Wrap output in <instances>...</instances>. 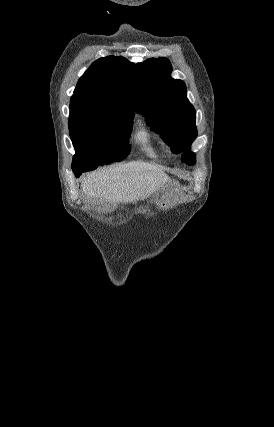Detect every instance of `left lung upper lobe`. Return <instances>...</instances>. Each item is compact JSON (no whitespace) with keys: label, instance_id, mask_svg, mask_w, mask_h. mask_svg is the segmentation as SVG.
<instances>
[{"label":"left lung upper lobe","instance_id":"1","mask_svg":"<svg viewBox=\"0 0 274 427\" xmlns=\"http://www.w3.org/2000/svg\"><path fill=\"white\" fill-rule=\"evenodd\" d=\"M168 59L150 58L134 67L130 84L131 101L151 129L161 135L174 153L184 151L182 160L195 163L190 145L197 136L196 112L186 97V86L174 80Z\"/></svg>","mask_w":274,"mask_h":427}]
</instances>
